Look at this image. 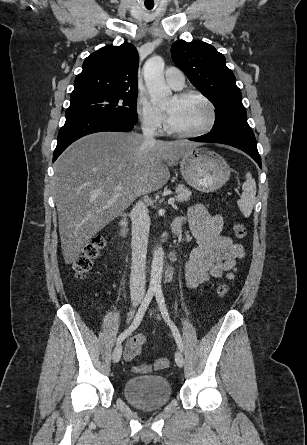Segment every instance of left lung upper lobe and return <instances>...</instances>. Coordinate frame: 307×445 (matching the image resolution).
<instances>
[{
    "label": "left lung upper lobe",
    "mask_w": 307,
    "mask_h": 445,
    "mask_svg": "<svg viewBox=\"0 0 307 445\" xmlns=\"http://www.w3.org/2000/svg\"><path fill=\"white\" fill-rule=\"evenodd\" d=\"M171 54L175 64L216 108L211 133L228 130L252 132L241 91L235 84L233 72L226 66L223 54L199 40H178L172 45Z\"/></svg>",
    "instance_id": "obj_1"
}]
</instances>
